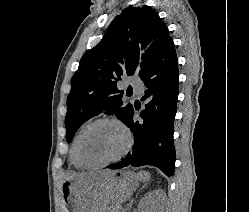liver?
<instances>
[{"label": "liver", "mask_w": 249, "mask_h": 212, "mask_svg": "<svg viewBox=\"0 0 249 212\" xmlns=\"http://www.w3.org/2000/svg\"><path fill=\"white\" fill-rule=\"evenodd\" d=\"M120 174V176H117ZM145 172H84V174H72L67 180H85L86 186L92 188L94 192V212H105L109 204L121 206L130 200L138 188L139 182H146Z\"/></svg>", "instance_id": "6515ba94"}]
</instances>
